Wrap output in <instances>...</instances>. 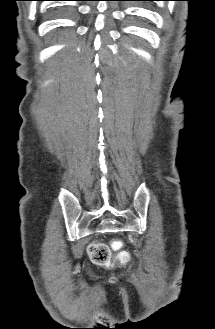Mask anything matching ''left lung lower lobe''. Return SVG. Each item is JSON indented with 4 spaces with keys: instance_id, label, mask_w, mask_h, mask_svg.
Returning a JSON list of instances; mask_svg holds the SVG:
<instances>
[{
    "instance_id": "0a47b994",
    "label": "left lung lower lobe",
    "mask_w": 215,
    "mask_h": 329,
    "mask_svg": "<svg viewBox=\"0 0 215 329\" xmlns=\"http://www.w3.org/2000/svg\"><path fill=\"white\" fill-rule=\"evenodd\" d=\"M140 1H153V0H140Z\"/></svg>"
}]
</instances>
